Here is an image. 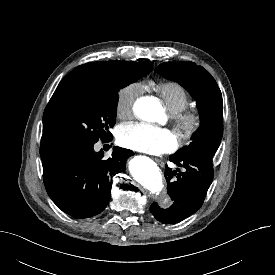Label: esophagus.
Masks as SVG:
<instances>
[{
    "label": "esophagus",
    "instance_id": "esophagus-1",
    "mask_svg": "<svg viewBox=\"0 0 275 275\" xmlns=\"http://www.w3.org/2000/svg\"><path fill=\"white\" fill-rule=\"evenodd\" d=\"M155 161L159 166L164 167V162L161 159L155 158Z\"/></svg>",
    "mask_w": 275,
    "mask_h": 275
}]
</instances>
